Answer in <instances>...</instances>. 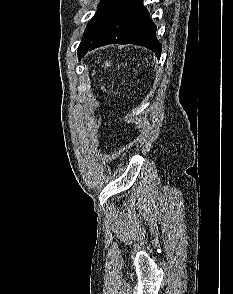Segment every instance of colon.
<instances>
[{
    "mask_svg": "<svg viewBox=\"0 0 233 294\" xmlns=\"http://www.w3.org/2000/svg\"><path fill=\"white\" fill-rule=\"evenodd\" d=\"M106 66H107V63H105L104 67H106ZM101 91H102V92H105V86H102V87H101Z\"/></svg>",
    "mask_w": 233,
    "mask_h": 294,
    "instance_id": "1",
    "label": "colon"
}]
</instances>
